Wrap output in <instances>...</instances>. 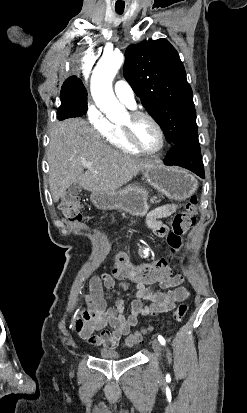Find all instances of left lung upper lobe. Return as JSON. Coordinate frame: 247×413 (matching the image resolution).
Masks as SVG:
<instances>
[{"label": "left lung upper lobe", "instance_id": "obj_1", "mask_svg": "<svg viewBox=\"0 0 247 413\" xmlns=\"http://www.w3.org/2000/svg\"><path fill=\"white\" fill-rule=\"evenodd\" d=\"M124 77L161 126L171 146L198 142L193 93L175 48L166 39L143 41L125 52Z\"/></svg>", "mask_w": 247, "mask_h": 413}]
</instances>
